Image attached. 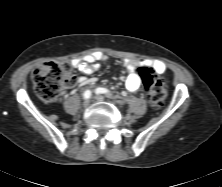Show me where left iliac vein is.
Returning a JSON list of instances; mask_svg holds the SVG:
<instances>
[{"label":"left iliac vein","mask_w":222,"mask_h":187,"mask_svg":"<svg viewBox=\"0 0 222 187\" xmlns=\"http://www.w3.org/2000/svg\"><path fill=\"white\" fill-rule=\"evenodd\" d=\"M95 99H96L97 101H103V100H105V97L102 96V95H96V96H95Z\"/></svg>","instance_id":"1"}]
</instances>
